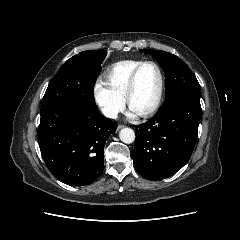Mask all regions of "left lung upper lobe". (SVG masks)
I'll use <instances>...</instances> for the list:
<instances>
[{"label":"left lung upper lobe","mask_w":240,"mask_h":240,"mask_svg":"<svg viewBox=\"0 0 240 240\" xmlns=\"http://www.w3.org/2000/svg\"><path fill=\"white\" fill-rule=\"evenodd\" d=\"M143 51L153 55L163 68L166 75L165 102L184 94L200 95V85L195 75L177 56L160 50Z\"/></svg>","instance_id":"5c2ea615"}]
</instances>
